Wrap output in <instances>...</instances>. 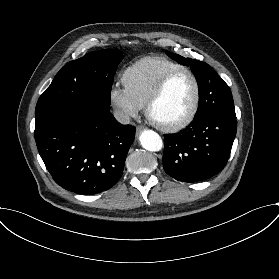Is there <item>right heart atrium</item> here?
Wrapping results in <instances>:
<instances>
[{
	"label": "right heart atrium",
	"instance_id": "1",
	"mask_svg": "<svg viewBox=\"0 0 279 279\" xmlns=\"http://www.w3.org/2000/svg\"><path fill=\"white\" fill-rule=\"evenodd\" d=\"M109 100L119 110L121 117L124 119L137 117L146 107V101L126 84L116 83L112 85L109 90Z\"/></svg>",
	"mask_w": 279,
	"mask_h": 279
}]
</instances>
